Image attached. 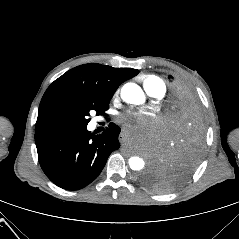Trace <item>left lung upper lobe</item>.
Returning a JSON list of instances; mask_svg holds the SVG:
<instances>
[{"label": "left lung upper lobe", "instance_id": "1", "mask_svg": "<svg viewBox=\"0 0 239 239\" xmlns=\"http://www.w3.org/2000/svg\"><path fill=\"white\" fill-rule=\"evenodd\" d=\"M172 84L170 106L167 112L169 139L151 165L141 177L142 183L150 189L167 193L184 183L199 162L204 145V122L196 129L192 112L203 115L197 93L185 81L169 76Z\"/></svg>", "mask_w": 239, "mask_h": 239}]
</instances>
